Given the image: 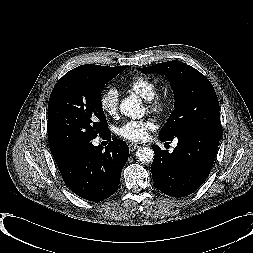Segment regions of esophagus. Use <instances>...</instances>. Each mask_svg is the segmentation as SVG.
Listing matches in <instances>:
<instances>
[{"instance_id": "34e87169", "label": "esophagus", "mask_w": 253, "mask_h": 253, "mask_svg": "<svg viewBox=\"0 0 253 253\" xmlns=\"http://www.w3.org/2000/svg\"><path fill=\"white\" fill-rule=\"evenodd\" d=\"M139 147V145L135 144V143H130L129 144V150L131 152L135 151L137 148Z\"/></svg>"}]
</instances>
